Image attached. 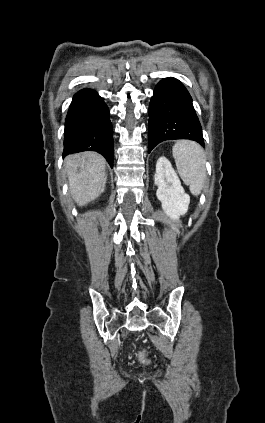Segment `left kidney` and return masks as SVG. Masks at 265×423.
Masks as SVG:
<instances>
[{
    "mask_svg": "<svg viewBox=\"0 0 265 423\" xmlns=\"http://www.w3.org/2000/svg\"><path fill=\"white\" fill-rule=\"evenodd\" d=\"M155 184L158 186L156 196L162 203V209L173 220H179L188 210L190 197L184 188L170 161L160 157L156 163Z\"/></svg>",
    "mask_w": 265,
    "mask_h": 423,
    "instance_id": "5707ae66",
    "label": "left kidney"
}]
</instances>
